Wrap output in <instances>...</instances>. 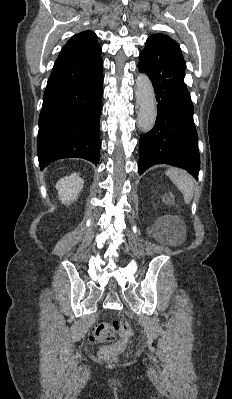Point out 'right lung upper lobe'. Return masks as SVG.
<instances>
[{
    "instance_id": "right-lung-upper-lobe-1",
    "label": "right lung upper lobe",
    "mask_w": 232,
    "mask_h": 399,
    "mask_svg": "<svg viewBox=\"0 0 232 399\" xmlns=\"http://www.w3.org/2000/svg\"><path fill=\"white\" fill-rule=\"evenodd\" d=\"M101 52L96 35L92 31H84L73 36L62 48L59 57L89 56Z\"/></svg>"
}]
</instances>
